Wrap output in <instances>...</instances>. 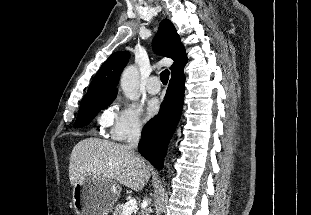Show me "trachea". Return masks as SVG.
I'll return each instance as SVG.
<instances>
[{
	"label": "trachea",
	"instance_id": "obj_1",
	"mask_svg": "<svg viewBox=\"0 0 311 215\" xmlns=\"http://www.w3.org/2000/svg\"><path fill=\"white\" fill-rule=\"evenodd\" d=\"M168 79H169V70L165 69L160 73V80L164 85H166L168 83Z\"/></svg>",
	"mask_w": 311,
	"mask_h": 215
}]
</instances>
